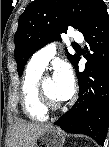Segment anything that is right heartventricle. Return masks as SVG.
<instances>
[{
	"instance_id": "e07e8e85",
	"label": "right heart ventricle",
	"mask_w": 109,
	"mask_h": 147,
	"mask_svg": "<svg viewBox=\"0 0 109 147\" xmlns=\"http://www.w3.org/2000/svg\"><path fill=\"white\" fill-rule=\"evenodd\" d=\"M42 71L27 66L21 86V103L24 113L34 121H43L47 118L48 111L39 101L38 84Z\"/></svg>"
}]
</instances>
